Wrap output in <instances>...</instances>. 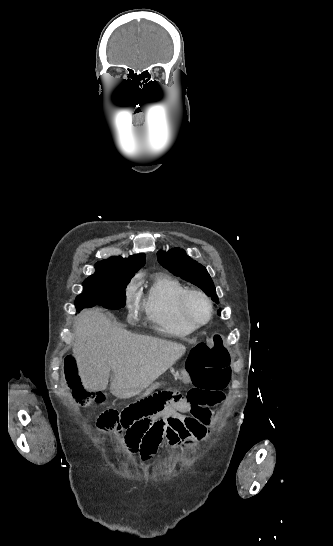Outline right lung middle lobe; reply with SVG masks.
<instances>
[{
	"mask_svg": "<svg viewBox=\"0 0 333 546\" xmlns=\"http://www.w3.org/2000/svg\"><path fill=\"white\" fill-rule=\"evenodd\" d=\"M135 275L113 269L96 270L83 283V292L76 297L77 311L101 305L108 309H119L125 305V288Z\"/></svg>",
	"mask_w": 333,
	"mask_h": 546,
	"instance_id": "right-lung-middle-lobe-1",
	"label": "right lung middle lobe"
}]
</instances>
